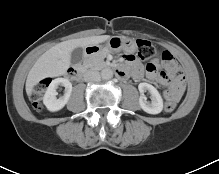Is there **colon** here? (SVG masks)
<instances>
[{
    "mask_svg": "<svg viewBox=\"0 0 219 174\" xmlns=\"http://www.w3.org/2000/svg\"><path fill=\"white\" fill-rule=\"evenodd\" d=\"M137 56L141 60H149L152 58H156L158 56H162L155 46L151 44L147 40H138L137 41ZM51 82L50 78H45L41 80L33 89L31 93V101L35 109L41 110L42 109V97L45 93L47 87ZM176 108V103L172 101H168L164 105V110L168 113L173 112Z\"/></svg>",
    "mask_w": 219,
    "mask_h": 174,
    "instance_id": "colon-1",
    "label": "colon"
}]
</instances>
